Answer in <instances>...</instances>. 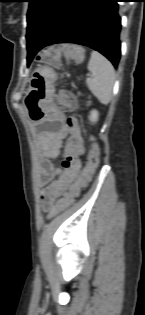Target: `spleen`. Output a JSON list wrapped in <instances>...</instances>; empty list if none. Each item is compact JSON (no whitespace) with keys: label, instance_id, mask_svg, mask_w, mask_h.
Returning <instances> with one entry per match:
<instances>
[{"label":"spleen","instance_id":"spleen-1","mask_svg":"<svg viewBox=\"0 0 145 315\" xmlns=\"http://www.w3.org/2000/svg\"><path fill=\"white\" fill-rule=\"evenodd\" d=\"M88 70L92 73L86 79L90 91L104 105L112 98L115 71L112 64L100 53L93 51L88 62Z\"/></svg>","mask_w":145,"mask_h":315}]
</instances>
